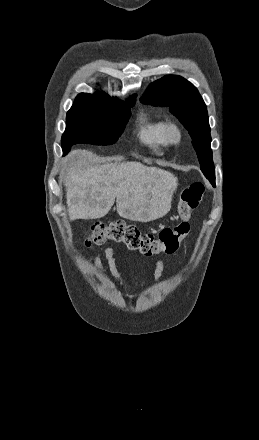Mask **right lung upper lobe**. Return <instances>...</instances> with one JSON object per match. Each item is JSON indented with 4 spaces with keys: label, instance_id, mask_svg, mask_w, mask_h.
<instances>
[{
    "label": "right lung upper lobe",
    "instance_id": "1",
    "mask_svg": "<svg viewBox=\"0 0 259 440\" xmlns=\"http://www.w3.org/2000/svg\"><path fill=\"white\" fill-rule=\"evenodd\" d=\"M135 98L136 95H133L129 99ZM116 103H120V101L115 98H111L107 94L101 92H98L96 94L81 93L76 97L74 102V104L76 105H85L97 108H107Z\"/></svg>",
    "mask_w": 259,
    "mask_h": 440
}]
</instances>
